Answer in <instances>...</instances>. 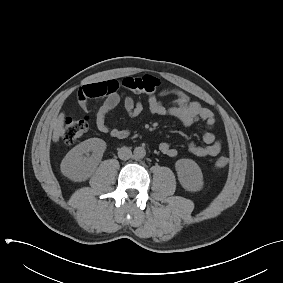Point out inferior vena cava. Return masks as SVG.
<instances>
[{"label":"inferior vena cava","instance_id":"1","mask_svg":"<svg viewBox=\"0 0 283 283\" xmlns=\"http://www.w3.org/2000/svg\"><path fill=\"white\" fill-rule=\"evenodd\" d=\"M132 156V151L128 147H121L118 150V157L121 160H128Z\"/></svg>","mask_w":283,"mask_h":283}]
</instances>
